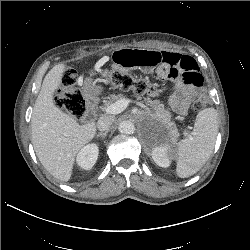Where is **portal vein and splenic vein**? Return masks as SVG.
<instances>
[{
	"label": "portal vein and splenic vein",
	"mask_w": 250,
	"mask_h": 250,
	"mask_svg": "<svg viewBox=\"0 0 250 250\" xmlns=\"http://www.w3.org/2000/svg\"><path fill=\"white\" fill-rule=\"evenodd\" d=\"M129 102L130 101L128 99H125V98L120 99L116 101L115 103H112L109 106H107L104 109V111L106 114H113V115L119 114L127 108ZM184 134L189 135L187 131H184Z\"/></svg>",
	"instance_id": "obj_1"
}]
</instances>
